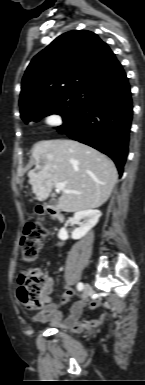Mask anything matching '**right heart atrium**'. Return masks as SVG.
I'll return each mask as SVG.
<instances>
[{
    "label": "right heart atrium",
    "instance_id": "obj_1",
    "mask_svg": "<svg viewBox=\"0 0 145 385\" xmlns=\"http://www.w3.org/2000/svg\"><path fill=\"white\" fill-rule=\"evenodd\" d=\"M44 122L49 127H58L62 123V118L58 113H50L44 118Z\"/></svg>",
    "mask_w": 145,
    "mask_h": 385
}]
</instances>
